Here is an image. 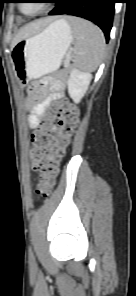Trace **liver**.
I'll return each mask as SVG.
<instances>
[{
  "label": "liver",
  "mask_w": 136,
  "mask_h": 296,
  "mask_svg": "<svg viewBox=\"0 0 136 296\" xmlns=\"http://www.w3.org/2000/svg\"><path fill=\"white\" fill-rule=\"evenodd\" d=\"M50 21L51 19H42L25 25L19 30L18 34L15 36L12 46H14L18 41L39 32Z\"/></svg>",
  "instance_id": "1"
}]
</instances>
